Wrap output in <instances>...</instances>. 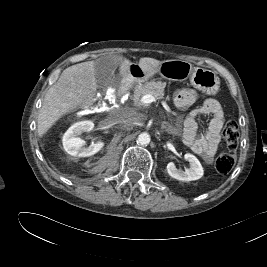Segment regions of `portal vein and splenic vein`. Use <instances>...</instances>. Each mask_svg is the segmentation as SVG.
Instances as JSON below:
<instances>
[{
  "label": "portal vein and splenic vein",
  "instance_id": "portal-vein-and-splenic-vein-1",
  "mask_svg": "<svg viewBox=\"0 0 267 267\" xmlns=\"http://www.w3.org/2000/svg\"><path fill=\"white\" fill-rule=\"evenodd\" d=\"M156 99L151 95V94H146L141 98V103L143 104H150L152 102H154ZM164 108L169 110V107L167 106V104L165 102L162 103Z\"/></svg>",
  "mask_w": 267,
  "mask_h": 267
}]
</instances>
